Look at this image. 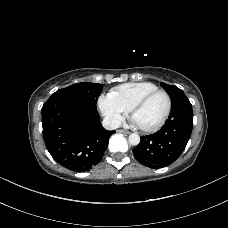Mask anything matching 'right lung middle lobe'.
I'll list each match as a JSON object with an SVG mask.
<instances>
[{
    "label": "right lung middle lobe",
    "instance_id": "dd1d6c3e",
    "mask_svg": "<svg viewBox=\"0 0 228 228\" xmlns=\"http://www.w3.org/2000/svg\"><path fill=\"white\" fill-rule=\"evenodd\" d=\"M102 90L103 89L101 84L81 82L73 84L67 88L60 89L56 91L53 95L71 96L88 101L92 104H96Z\"/></svg>",
    "mask_w": 228,
    "mask_h": 228
}]
</instances>
